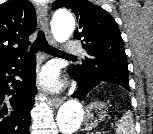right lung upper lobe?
<instances>
[{"instance_id":"1","label":"right lung upper lobe","mask_w":153,"mask_h":134,"mask_svg":"<svg viewBox=\"0 0 153 134\" xmlns=\"http://www.w3.org/2000/svg\"><path fill=\"white\" fill-rule=\"evenodd\" d=\"M35 28L36 14L28 0L0 4V65L25 56Z\"/></svg>"}]
</instances>
